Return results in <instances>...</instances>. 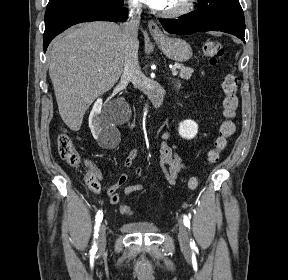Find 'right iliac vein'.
Segmentation results:
<instances>
[{
	"label": "right iliac vein",
	"instance_id": "1",
	"mask_svg": "<svg viewBox=\"0 0 288 280\" xmlns=\"http://www.w3.org/2000/svg\"><path fill=\"white\" fill-rule=\"evenodd\" d=\"M98 251L102 252L104 251L106 247V229L105 225H102L99 231V237H98Z\"/></svg>",
	"mask_w": 288,
	"mask_h": 280
}]
</instances>
